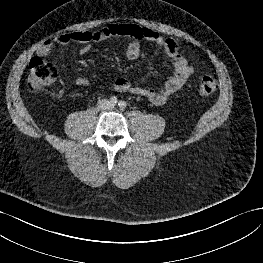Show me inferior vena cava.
<instances>
[{
    "label": "inferior vena cava",
    "mask_w": 263,
    "mask_h": 263,
    "mask_svg": "<svg viewBox=\"0 0 263 263\" xmlns=\"http://www.w3.org/2000/svg\"><path fill=\"white\" fill-rule=\"evenodd\" d=\"M97 106L101 110H109L112 108V104L107 99H101L98 101Z\"/></svg>",
    "instance_id": "obj_1"
}]
</instances>
